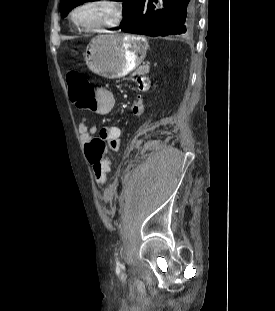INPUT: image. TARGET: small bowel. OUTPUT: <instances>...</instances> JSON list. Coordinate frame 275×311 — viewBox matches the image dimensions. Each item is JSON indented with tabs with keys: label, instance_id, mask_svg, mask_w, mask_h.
Returning <instances> with one entry per match:
<instances>
[{
	"label": "small bowel",
	"instance_id": "obj_1",
	"mask_svg": "<svg viewBox=\"0 0 275 311\" xmlns=\"http://www.w3.org/2000/svg\"><path fill=\"white\" fill-rule=\"evenodd\" d=\"M154 87V80H139L137 88L138 93H151ZM114 107V98L112 93L105 89L100 88L96 92L95 98L91 101L90 105H84V112H94L96 114H108ZM132 110L134 114H141L143 112V100L140 96L136 97L133 101ZM79 135L81 140L86 143L98 132L100 136L110 143L111 148L117 150L120 146V129L116 125H107L99 129L95 124H90L89 119L82 118L79 124Z\"/></svg>",
	"mask_w": 275,
	"mask_h": 311
}]
</instances>
